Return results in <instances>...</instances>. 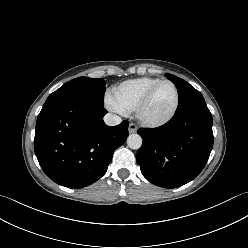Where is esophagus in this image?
<instances>
[{
	"mask_svg": "<svg viewBox=\"0 0 248 248\" xmlns=\"http://www.w3.org/2000/svg\"><path fill=\"white\" fill-rule=\"evenodd\" d=\"M128 131H129V133H136V131H137V126L134 124V123H130L129 124V127H128Z\"/></svg>",
	"mask_w": 248,
	"mask_h": 248,
	"instance_id": "34e87169",
	"label": "esophagus"
}]
</instances>
